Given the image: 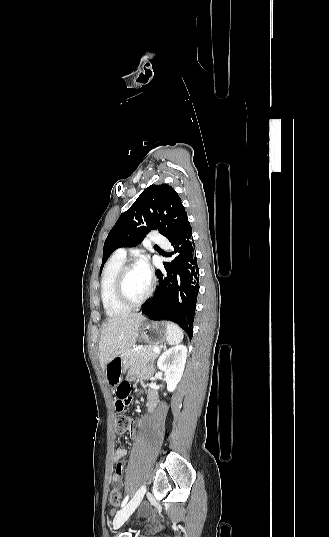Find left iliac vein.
I'll list each match as a JSON object with an SVG mask.
<instances>
[{
	"label": "left iliac vein",
	"instance_id": "1",
	"mask_svg": "<svg viewBox=\"0 0 329 537\" xmlns=\"http://www.w3.org/2000/svg\"><path fill=\"white\" fill-rule=\"evenodd\" d=\"M146 492V486L142 485L134 494L132 499L116 514L113 520V528L117 530L120 528L140 505L144 494Z\"/></svg>",
	"mask_w": 329,
	"mask_h": 537
}]
</instances>
